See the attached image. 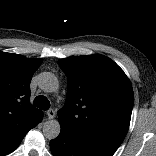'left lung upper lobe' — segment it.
Segmentation results:
<instances>
[{"mask_svg":"<svg viewBox=\"0 0 156 156\" xmlns=\"http://www.w3.org/2000/svg\"><path fill=\"white\" fill-rule=\"evenodd\" d=\"M68 79L59 122L71 131L118 148L131 119L134 95L123 70L103 55L74 56L58 61Z\"/></svg>","mask_w":156,"mask_h":156,"instance_id":"obj_1","label":"left lung upper lobe"}]
</instances>
